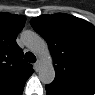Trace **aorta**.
Returning <instances> with one entry per match:
<instances>
[{
    "instance_id": "1",
    "label": "aorta",
    "mask_w": 95,
    "mask_h": 95,
    "mask_svg": "<svg viewBox=\"0 0 95 95\" xmlns=\"http://www.w3.org/2000/svg\"><path fill=\"white\" fill-rule=\"evenodd\" d=\"M23 43L40 58L39 78L43 84H51L55 78L53 60L46 41L34 31H24L21 35Z\"/></svg>"
}]
</instances>
